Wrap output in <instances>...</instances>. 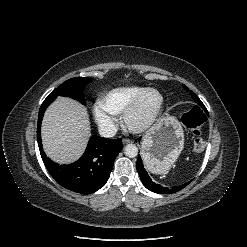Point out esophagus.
<instances>
[{
    "mask_svg": "<svg viewBox=\"0 0 247 247\" xmlns=\"http://www.w3.org/2000/svg\"><path fill=\"white\" fill-rule=\"evenodd\" d=\"M122 142H123V144H129V143H131V140L130 139H127V138H124L122 140Z\"/></svg>",
    "mask_w": 247,
    "mask_h": 247,
    "instance_id": "1",
    "label": "esophagus"
}]
</instances>
